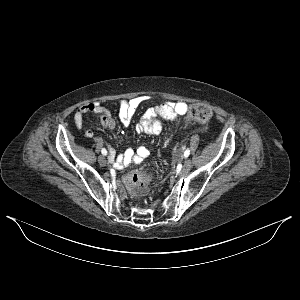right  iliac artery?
I'll return each instance as SVG.
<instances>
[{
  "label": "right iliac artery",
  "instance_id": "right-iliac-artery-1",
  "mask_svg": "<svg viewBox=\"0 0 300 300\" xmlns=\"http://www.w3.org/2000/svg\"><path fill=\"white\" fill-rule=\"evenodd\" d=\"M101 153H102L103 155H107V150H106L105 148H103V149L101 150Z\"/></svg>",
  "mask_w": 300,
  "mask_h": 300
}]
</instances>
